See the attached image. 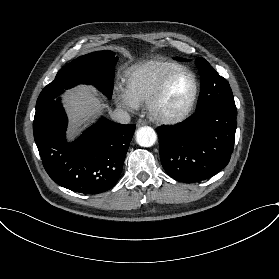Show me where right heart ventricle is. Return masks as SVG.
Returning <instances> with one entry per match:
<instances>
[{
    "label": "right heart ventricle",
    "mask_w": 279,
    "mask_h": 279,
    "mask_svg": "<svg viewBox=\"0 0 279 279\" xmlns=\"http://www.w3.org/2000/svg\"><path fill=\"white\" fill-rule=\"evenodd\" d=\"M186 67L171 60H150L129 69L127 89L143 101H148L169 74Z\"/></svg>",
    "instance_id": "right-heart-ventricle-1"
}]
</instances>
